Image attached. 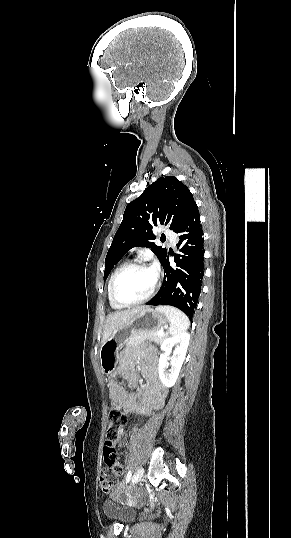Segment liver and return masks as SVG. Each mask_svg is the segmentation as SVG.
I'll list each match as a JSON object with an SVG mask.
<instances>
[{"instance_id":"1","label":"liver","mask_w":291,"mask_h":538,"mask_svg":"<svg viewBox=\"0 0 291 538\" xmlns=\"http://www.w3.org/2000/svg\"><path fill=\"white\" fill-rule=\"evenodd\" d=\"M147 306H139L128 310L110 313L105 321L102 337V345L119 328L130 323L134 316Z\"/></svg>"}]
</instances>
